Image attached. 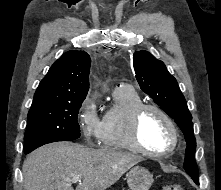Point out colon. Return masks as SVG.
<instances>
[{
    "label": "colon",
    "instance_id": "1",
    "mask_svg": "<svg viewBox=\"0 0 221 190\" xmlns=\"http://www.w3.org/2000/svg\"><path fill=\"white\" fill-rule=\"evenodd\" d=\"M163 190H183L178 184H166L163 186Z\"/></svg>",
    "mask_w": 221,
    "mask_h": 190
}]
</instances>
